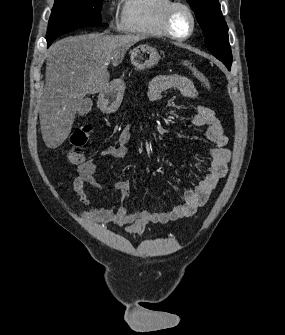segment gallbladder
<instances>
[{
  "label": "gallbladder",
  "instance_id": "obj_1",
  "mask_svg": "<svg viewBox=\"0 0 285 335\" xmlns=\"http://www.w3.org/2000/svg\"><path fill=\"white\" fill-rule=\"evenodd\" d=\"M92 106H93V102H92L91 98H84V100H82V102L79 106V110H78L79 116H84V114H88V112H90Z\"/></svg>",
  "mask_w": 285,
  "mask_h": 335
}]
</instances>
